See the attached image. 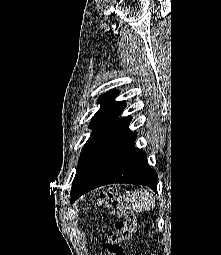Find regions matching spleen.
Here are the masks:
<instances>
[{"instance_id": "1", "label": "spleen", "mask_w": 221, "mask_h": 255, "mask_svg": "<svg viewBox=\"0 0 221 255\" xmlns=\"http://www.w3.org/2000/svg\"><path fill=\"white\" fill-rule=\"evenodd\" d=\"M124 200L129 203L136 212L149 211L155 208V200L148 192L127 191L124 195Z\"/></svg>"}]
</instances>
